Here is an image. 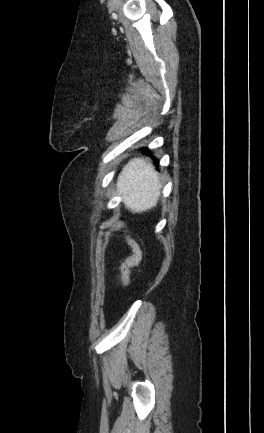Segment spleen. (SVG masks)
<instances>
[{
    "mask_svg": "<svg viewBox=\"0 0 264 433\" xmlns=\"http://www.w3.org/2000/svg\"><path fill=\"white\" fill-rule=\"evenodd\" d=\"M161 188L154 166L141 158L130 160L117 180V193L121 195L125 207L137 213L156 206Z\"/></svg>",
    "mask_w": 264,
    "mask_h": 433,
    "instance_id": "obj_1",
    "label": "spleen"
}]
</instances>
